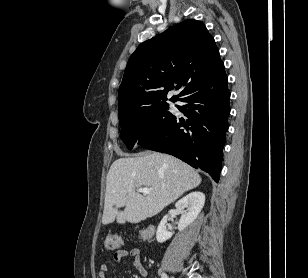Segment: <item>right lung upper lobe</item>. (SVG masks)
<instances>
[{
  "label": "right lung upper lobe",
  "instance_id": "1",
  "mask_svg": "<svg viewBox=\"0 0 308 278\" xmlns=\"http://www.w3.org/2000/svg\"><path fill=\"white\" fill-rule=\"evenodd\" d=\"M225 76L219 50L204 24L186 20L143 42L131 55L119 87V120L166 102L174 83L183 88L170 99L175 102Z\"/></svg>",
  "mask_w": 308,
  "mask_h": 278
}]
</instances>
